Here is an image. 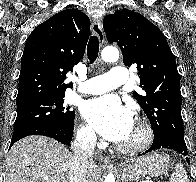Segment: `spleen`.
<instances>
[{"instance_id": "1", "label": "spleen", "mask_w": 196, "mask_h": 182, "mask_svg": "<svg viewBox=\"0 0 196 182\" xmlns=\"http://www.w3.org/2000/svg\"><path fill=\"white\" fill-rule=\"evenodd\" d=\"M170 182H189L188 175L181 163H177Z\"/></svg>"}]
</instances>
